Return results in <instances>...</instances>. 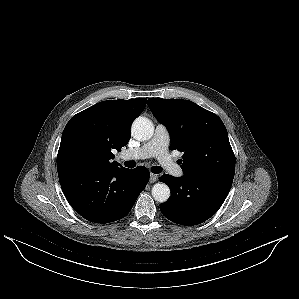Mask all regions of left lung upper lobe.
<instances>
[{
  "label": "left lung upper lobe",
  "mask_w": 299,
  "mask_h": 299,
  "mask_svg": "<svg viewBox=\"0 0 299 299\" xmlns=\"http://www.w3.org/2000/svg\"><path fill=\"white\" fill-rule=\"evenodd\" d=\"M148 106L167 127L171 150L183 152L184 174L234 177V153L225 125L216 114L181 99L149 98Z\"/></svg>",
  "instance_id": "5c2ea615"
}]
</instances>
